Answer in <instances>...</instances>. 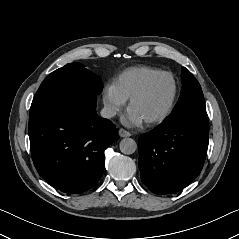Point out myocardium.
I'll list each match as a JSON object with an SVG mask.
<instances>
[{
	"mask_svg": "<svg viewBox=\"0 0 239 239\" xmlns=\"http://www.w3.org/2000/svg\"><path fill=\"white\" fill-rule=\"evenodd\" d=\"M162 76H166L169 77L170 80L172 81V85H173V91H172V95L171 98L167 104V106L165 107V109L160 112L159 114L150 117L145 121V123L147 124H153V123H157V122H161L162 120H164L172 111L175 101H176V97H177V92H178V86H177V82L175 80V78L173 77V75L169 72L166 71H159L156 74H154L153 76H151L150 78H148L142 85L141 87L136 90L131 97L129 98V102L128 105L129 107H131V105L138 100L141 96H143L145 94V92L148 90V88L151 86V84L157 80L158 78L162 77Z\"/></svg>",
	"mask_w": 239,
	"mask_h": 239,
	"instance_id": "f54148a6",
	"label": "myocardium"
}]
</instances>
